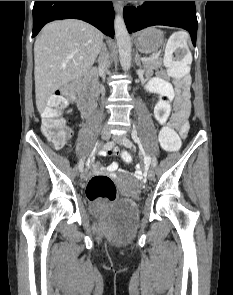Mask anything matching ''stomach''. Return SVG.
Instances as JSON below:
<instances>
[{"label": "stomach", "instance_id": "1", "mask_svg": "<svg viewBox=\"0 0 233 295\" xmlns=\"http://www.w3.org/2000/svg\"><path fill=\"white\" fill-rule=\"evenodd\" d=\"M163 32L150 27L142 30L135 36L136 48L143 54H150L157 51L163 44Z\"/></svg>", "mask_w": 233, "mask_h": 295}]
</instances>
